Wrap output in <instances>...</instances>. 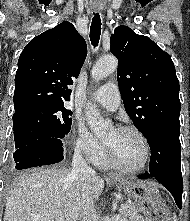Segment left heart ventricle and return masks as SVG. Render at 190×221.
I'll return each mask as SVG.
<instances>
[{
    "mask_svg": "<svg viewBox=\"0 0 190 221\" xmlns=\"http://www.w3.org/2000/svg\"><path fill=\"white\" fill-rule=\"evenodd\" d=\"M114 151L117 158L128 167H138L142 164L145 157L143 142L134 132L119 131L112 128L103 137Z\"/></svg>",
    "mask_w": 190,
    "mask_h": 221,
    "instance_id": "left-heart-ventricle-1",
    "label": "left heart ventricle"
}]
</instances>
